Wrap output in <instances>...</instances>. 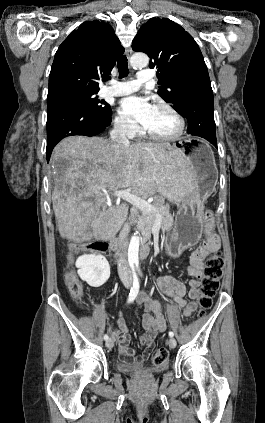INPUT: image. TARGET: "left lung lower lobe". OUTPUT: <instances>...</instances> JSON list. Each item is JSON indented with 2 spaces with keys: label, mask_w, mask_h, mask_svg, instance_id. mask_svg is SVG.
Listing matches in <instances>:
<instances>
[{
  "label": "left lung lower lobe",
  "mask_w": 265,
  "mask_h": 423,
  "mask_svg": "<svg viewBox=\"0 0 265 423\" xmlns=\"http://www.w3.org/2000/svg\"><path fill=\"white\" fill-rule=\"evenodd\" d=\"M182 98V109L179 114L188 120L187 133L202 137L217 147L210 80L192 84L183 93Z\"/></svg>",
  "instance_id": "1"
}]
</instances>
